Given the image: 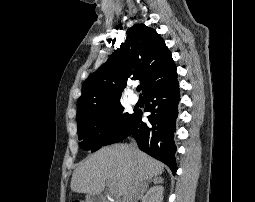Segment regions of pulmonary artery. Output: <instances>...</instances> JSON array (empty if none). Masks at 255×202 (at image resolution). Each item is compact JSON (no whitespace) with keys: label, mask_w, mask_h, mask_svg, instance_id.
<instances>
[{"label":"pulmonary artery","mask_w":255,"mask_h":202,"mask_svg":"<svg viewBox=\"0 0 255 202\" xmlns=\"http://www.w3.org/2000/svg\"><path fill=\"white\" fill-rule=\"evenodd\" d=\"M129 101L131 104H136L138 102V97L135 94L131 93L129 95Z\"/></svg>","instance_id":"obj_1"}]
</instances>
